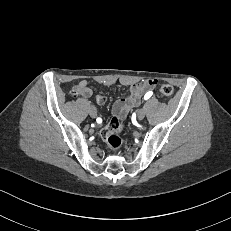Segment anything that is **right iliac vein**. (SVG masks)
<instances>
[{"mask_svg":"<svg viewBox=\"0 0 231 231\" xmlns=\"http://www.w3.org/2000/svg\"><path fill=\"white\" fill-rule=\"evenodd\" d=\"M89 114L92 118H96L97 116V110L94 106H91L89 109Z\"/></svg>","mask_w":231,"mask_h":231,"instance_id":"1","label":"right iliac vein"}]
</instances>
